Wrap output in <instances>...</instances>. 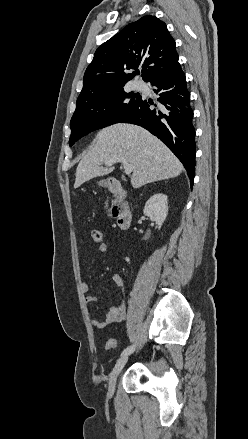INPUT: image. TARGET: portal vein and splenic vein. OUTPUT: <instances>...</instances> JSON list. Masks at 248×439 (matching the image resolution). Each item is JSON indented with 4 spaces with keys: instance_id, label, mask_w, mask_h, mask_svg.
Masks as SVG:
<instances>
[{
    "instance_id": "1",
    "label": "portal vein and splenic vein",
    "mask_w": 248,
    "mask_h": 439,
    "mask_svg": "<svg viewBox=\"0 0 248 439\" xmlns=\"http://www.w3.org/2000/svg\"><path fill=\"white\" fill-rule=\"evenodd\" d=\"M117 162H121L124 165V172H125V174L129 175L130 173H132L133 168H134L133 165L127 163L124 159H119L118 158V159L110 160V161H107L105 163V165L106 166H112L114 163H117Z\"/></svg>"
}]
</instances>
